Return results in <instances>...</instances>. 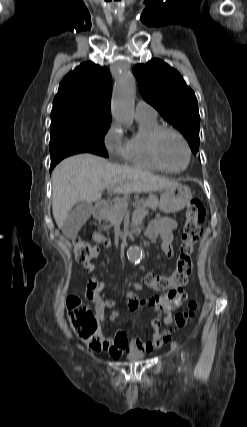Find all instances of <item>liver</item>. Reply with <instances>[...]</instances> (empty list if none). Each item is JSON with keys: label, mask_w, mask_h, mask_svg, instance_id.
<instances>
[{"label": "liver", "mask_w": 247, "mask_h": 427, "mask_svg": "<svg viewBox=\"0 0 247 427\" xmlns=\"http://www.w3.org/2000/svg\"><path fill=\"white\" fill-rule=\"evenodd\" d=\"M176 184L140 168L112 164L93 154H78L64 159L53 170V216L61 229L74 205L99 201L104 189L128 194L165 190Z\"/></svg>", "instance_id": "1"}]
</instances>
